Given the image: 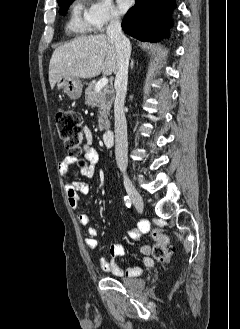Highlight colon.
<instances>
[{
    "label": "colon",
    "instance_id": "1",
    "mask_svg": "<svg viewBox=\"0 0 240 329\" xmlns=\"http://www.w3.org/2000/svg\"><path fill=\"white\" fill-rule=\"evenodd\" d=\"M56 124L59 135L63 140L64 146L73 157H78L82 153V116L71 109L59 108L56 111ZM155 240L153 256L162 265L170 260L172 250L169 247V237L162 228H154L151 233Z\"/></svg>",
    "mask_w": 240,
    "mask_h": 329
}]
</instances>
